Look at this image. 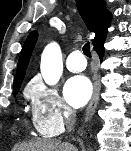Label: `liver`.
Here are the masks:
<instances>
[{"label": "liver", "mask_w": 131, "mask_h": 151, "mask_svg": "<svg viewBox=\"0 0 131 151\" xmlns=\"http://www.w3.org/2000/svg\"><path fill=\"white\" fill-rule=\"evenodd\" d=\"M13 151H77V148L59 140H36L17 145Z\"/></svg>", "instance_id": "6515ba94"}]
</instances>
